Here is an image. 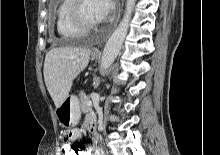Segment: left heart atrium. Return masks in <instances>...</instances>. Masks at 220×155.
I'll list each match as a JSON object with an SVG mask.
<instances>
[{"label": "left heart atrium", "mask_w": 220, "mask_h": 155, "mask_svg": "<svg viewBox=\"0 0 220 155\" xmlns=\"http://www.w3.org/2000/svg\"><path fill=\"white\" fill-rule=\"evenodd\" d=\"M113 9V0H93V10L98 20L105 19Z\"/></svg>", "instance_id": "obj_1"}]
</instances>
